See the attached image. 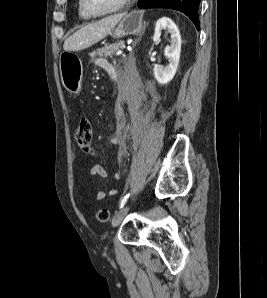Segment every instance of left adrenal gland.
<instances>
[{
  "instance_id": "left-adrenal-gland-1",
  "label": "left adrenal gland",
  "mask_w": 267,
  "mask_h": 298,
  "mask_svg": "<svg viewBox=\"0 0 267 298\" xmlns=\"http://www.w3.org/2000/svg\"><path fill=\"white\" fill-rule=\"evenodd\" d=\"M142 38V36H140L134 43V46L137 44V42Z\"/></svg>"
}]
</instances>
